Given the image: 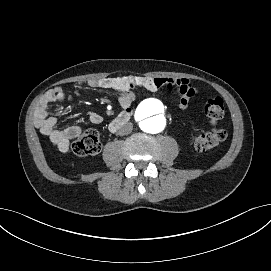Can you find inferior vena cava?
Here are the masks:
<instances>
[{"instance_id":"obj_1","label":"inferior vena cava","mask_w":271,"mask_h":271,"mask_svg":"<svg viewBox=\"0 0 271 271\" xmlns=\"http://www.w3.org/2000/svg\"><path fill=\"white\" fill-rule=\"evenodd\" d=\"M131 131V125L130 123H126L122 126H120V128L118 129L117 133L119 135H126Z\"/></svg>"}]
</instances>
